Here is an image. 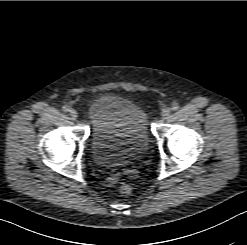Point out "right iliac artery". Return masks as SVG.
I'll return each mask as SVG.
<instances>
[{
  "mask_svg": "<svg viewBox=\"0 0 247 245\" xmlns=\"http://www.w3.org/2000/svg\"><path fill=\"white\" fill-rule=\"evenodd\" d=\"M62 109H63L64 112H68L70 110L69 106H67V105H64L62 107Z\"/></svg>",
  "mask_w": 247,
  "mask_h": 245,
  "instance_id": "1",
  "label": "right iliac artery"
}]
</instances>
